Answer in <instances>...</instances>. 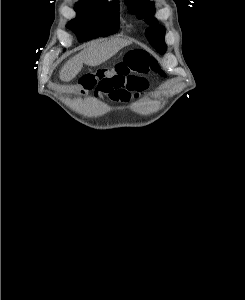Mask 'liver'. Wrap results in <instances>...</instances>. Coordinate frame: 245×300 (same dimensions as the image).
<instances>
[{"mask_svg": "<svg viewBox=\"0 0 245 300\" xmlns=\"http://www.w3.org/2000/svg\"><path fill=\"white\" fill-rule=\"evenodd\" d=\"M130 43V41L121 38L93 42L65 63L60 71V79L66 82L71 81L81 71L83 64L98 66Z\"/></svg>", "mask_w": 245, "mask_h": 300, "instance_id": "6515ba94", "label": "liver"}]
</instances>
